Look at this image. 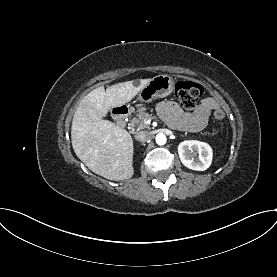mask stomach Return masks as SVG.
Masks as SVG:
<instances>
[{"instance_id":"1","label":"stomach","mask_w":277,"mask_h":277,"mask_svg":"<svg viewBox=\"0 0 277 277\" xmlns=\"http://www.w3.org/2000/svg\"><path fill=\"white\" fill-rule=\"evenodd\" d=\"M174 89V81L169 75H158L140 91L139 100L151 101L155 97H165Z\"/></svg>"}]
</instances>
